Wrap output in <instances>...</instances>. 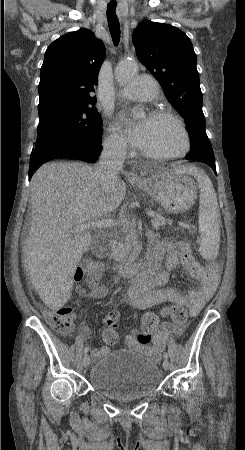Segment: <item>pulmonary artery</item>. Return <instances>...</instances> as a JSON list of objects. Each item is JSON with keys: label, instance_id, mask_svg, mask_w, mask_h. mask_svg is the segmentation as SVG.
Here are the masks:
<instances>
[{"label": "pulmonary artery", "instance_id": "e3ab8cb5", "mask_svg": "<svg viewBox=\"0 0 245 450\" xmlns=\"http://www.w3.org/2000/svg\"><path fill=\"white\" fill-rule=\"evenodd\" d=\"M160 90L154 77L138 76L118 91V97L126 100L149 101L157 97Z\"/></svg>", "mask_w": 245, "mask_h": 450}]
</instances>
